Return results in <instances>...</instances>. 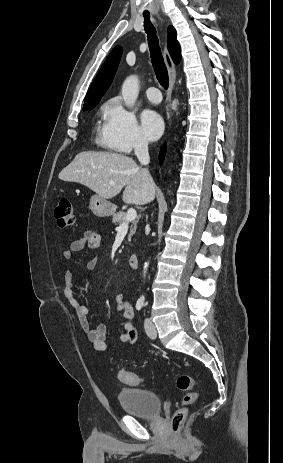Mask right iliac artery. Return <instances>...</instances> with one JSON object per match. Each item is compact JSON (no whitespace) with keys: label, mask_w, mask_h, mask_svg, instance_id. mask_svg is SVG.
Returning a JSON list of instances; mask_svg holds the SVG:
<instances>
[{"label":"right iliac artery","mask_w":283,"mask_h":463,"mask_svg":"<svg viewBox=\"0 0 283 463\" xmlns=\"http://www.w3.org/2000/svg\"><path fill=\"white\" fill-rule=\"evenodd\" d=\"M143 306H144V300L143 299H138L137 303H136V309L141 310Z\"/></svg>","instance_id":"1"}]
</instances>
